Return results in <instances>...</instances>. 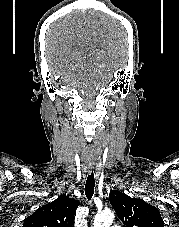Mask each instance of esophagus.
I'll use <instances>...</instances> for the list:
<instances>
[{"instance_id":"1","label":"esophagus","mask_w":179,"mask_h":227,"mask_svg":"<svg viewBox=\"0 0 179 227\" xmlns=\"http://www.w3.org/2000/svg\"><path fill=\"white\" fill-rule=\"evenodd\" d=\"M91 171H92V167L89 166V167H88V172L90 173Z\"/></svg>"}]
</instances>
